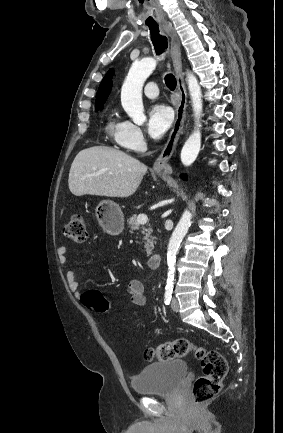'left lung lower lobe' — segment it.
<instances>
[{
  "label": "left lung lower lobe",
  "mask_w": 283,
  "mask_h": 433,
  "mask_svg": "<svg viewBox=\"0 0 283 433\" xmlns=\"http://www.w3.org/2000/svg\"><path fill=\"white\" fill-rule=\"evenodd\" d=\"M181 178H182L183 180H186V179H187V177H186L185 175H181Z\"/></svg>",
  "instance_id": "1"
}]
</instances>
